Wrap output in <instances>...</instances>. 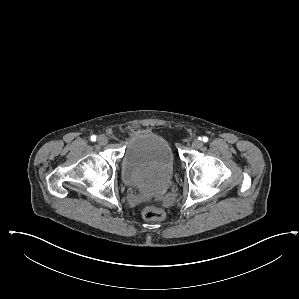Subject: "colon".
Segmentation results:
<instances>
[{
  "label": "colon",
  "instance_id": "1",
  "mask_svg": "<svg viewBox=\"0 0 299 299\" xmlns=\"http://www.w3.org/2000/svg\"><path fill=\"white\" fill-rule=\"evenodd\" d=\"M142 217L147 221L161 222L166 218V213L154 206H144L141 211Z\"/></svg>",
  "mask_w": 299,
  "mask_h": 299
}]
</instances>
